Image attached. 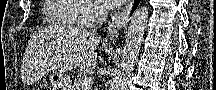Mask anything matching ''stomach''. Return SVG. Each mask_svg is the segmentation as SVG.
Returning a JSON list of instances; mask_svg holds the SVG:
<instances>
[{
  "label": "stomach",
  "instance_id": "1",
  "mask_svg": "<svg viewBox=\"0 0 216 90\" xmlns=\"http://www.w3.org/2000/svg\"><path fill=\"white\" fill-rule=\"evenodd\" d=\"M53 90H72L70 77L60 71H53L49 76Z\"/></svg>",
  "mask_w": 216,
  "mask_h": 90
}]
</instances>
